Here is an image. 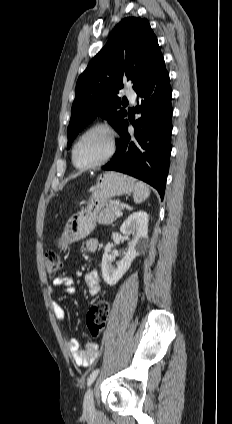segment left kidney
<instances>
[{
    "label": "left kidney",
    "mask_w": 232,
    "mask_h": 424,
    "mask_svg": "<svg viewBox=\"0 0 232 424\" xmlns=\"http://www.w3.org/2000/svg\"><path fill=\"white\" fill-rule=\"evenodd\" d=\"M148 214L145 211L132 213L121 225L120 232L132 235L128 242V251L121 261L112 265L114 256L111 254L112 243H108L102 257V277L110 285H115L130 268L133 260L148 247Z\"/></svg>",
    "instance_id": "5707ae66"
}]
</instances>
